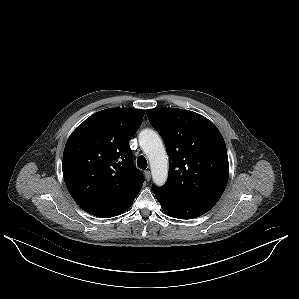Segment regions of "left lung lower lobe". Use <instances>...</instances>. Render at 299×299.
Listing matches in <instances>:
<instances>
[{
    "instance_id": "left-lung-lower-lobe-1",
    "label": "left lung lower lobe",
    "mask_w": 299,
    "mask_h": 299,
    "mask_svg": "<svg viewBox=\"0 0 299 299\" xmlns=\"http://www.w3.org/2000/svg\"><path fill=\"white\" fill-rule=\"evenodd\" d=\"M155 193V192H154ZM163 210L171 217L192 219L208 212L216 203L207 201L178 200L155 193Z\"/></svg>"
}]
</instances>
